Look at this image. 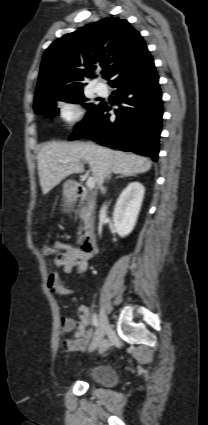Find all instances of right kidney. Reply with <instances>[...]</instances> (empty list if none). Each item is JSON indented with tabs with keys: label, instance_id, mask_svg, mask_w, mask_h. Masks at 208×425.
<instances>
[{
	"label": "right kidney",
	"instance_id": "ca27d5eb",
	"mask_svg": "<svg viewBox=\"0 0 208 425\" xmlns=\"http://www.w3.org/2000/svg\"><path fill=\"white\" fill-rule=\"evenodd\" d=\"M145 188L140 182H131L120 194L113 212V222L119 236L125 237L135 227L144 198Z\"/></svg>",
	"mask_w": 208,
	"mask_h": 425
}]
</instances>
